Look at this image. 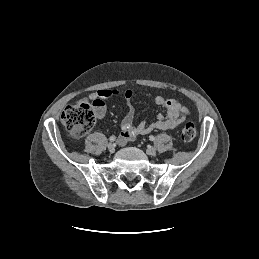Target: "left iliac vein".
<instances>
[{"instance_id":"4c4485c4","label":"left iliac vein","mask_w":259,"mask_h":259,"mask_svg":"<svg viewBox=\"0 0 259 259\" xmlns=\"http://www.w3.org/2000/svg\"><path fill=\"white\" fill-rule=\"evenodd\" d=\"M146 153H147L148 155L153 156V155L156 154V149H155L154 147H152V146H149V147L147 148V150H146Z\"/></svg>"}]
</instances>
